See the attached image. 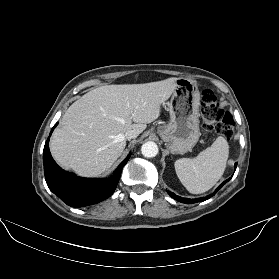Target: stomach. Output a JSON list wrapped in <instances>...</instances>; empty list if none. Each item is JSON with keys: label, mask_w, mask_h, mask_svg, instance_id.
<instances>
[{"label": "stomach", "mask_w": 279, "mask_h": 279, "mask_svg": "<svg viewBox=\"0 0 279 279\" xmlns=\"http://www.w3.org/2000/svg\"><path fill=\"white\" fill-rule=\"evenodd\" d=\"M200 92L195 81L178 78L168 102L170 122L160 125L157 133L174 154L190 151L198 142Z\"/></svg>", "instance_id": "0dacf381"}]
</instances>
